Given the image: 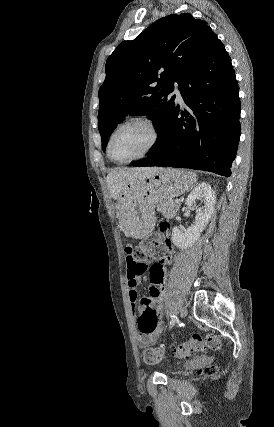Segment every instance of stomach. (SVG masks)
I'll return each instance as SVG.
<instances>
[{
    "label": "stomach",
    "mask_w": 274,
    "mask_h": 427,
    "mask_svg": "<svg viewBox=\"0 0 274 427\" xmlns=\"http://www.w3.org/2000/svg\"><path fill=\"white\" fill-rule=\"evenodd\" d=\"M197 182L195 172L188 170H159L135 184V194L127 202H117V215L127 235L135 239H145L155 227L156 204L160 200L177 198L190 190ZM132 188V186H128Z\"/></svg>",
    "instance_id": "1"
}]
</instances>
